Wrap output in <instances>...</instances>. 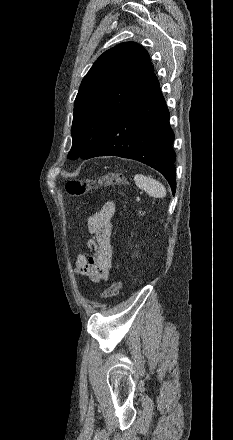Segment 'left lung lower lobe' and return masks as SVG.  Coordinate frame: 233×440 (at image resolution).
<instances>
[{"label":"left lung lower lobe","instance_id":"obj_1","mask_svg":"<svg viewBox=\"0 0 233 440\" xmlns=\"http://www.w3.org/2000/svg\"><path fill=\"white\" fill-rule=\"evenodd\" d=\"M169 112L153 73L113 121L107 135L86 159L119 156L143 162L158 170L176 190V155Z\"/></svg>","mask_w":233,"mask_h":440}]
</instances>
